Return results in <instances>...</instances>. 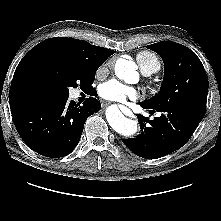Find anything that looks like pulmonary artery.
<instances>
[{"instance_id": "1", "label": "pulmonary artery", "mask_w": 221, "mask_h": 221, "mask_svg": "<svg viewBox=\"0 0 221 221\" xmlns=\"http://www.w3.org/2000/svg\"><path fill=\"white\" fill-rule=\"evenodd\" d=\"M146 75H149V74H151V73H145Z\"/></svg>"}]
</instances>
